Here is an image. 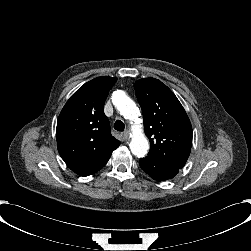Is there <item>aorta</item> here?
<instances>
[{
    "mask_svg": "<svg viewBox=\"0 0 251 251\" xmlns=\"http://www.w3.org/2000/svg\"><path fill=\"white\" fill-rule=\"evenodd\" d=\"M112 102L116 105L118 111L124 118L134 121L136 125L139 123V109L135 102L126 96L124 91H114L112 94ZM129 147L132 154L138 158H142L147 154L149 143L141 128H135L133 130Z\"/></svg>",
    "mask_w": 251,
    "mask_h": 251,
    "instance_id": "1",
    "label": "aorta"
}]
</instances>
